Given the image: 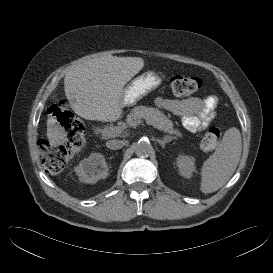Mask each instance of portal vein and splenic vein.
I'll return each instance as SVG.
<instances>
[{"mask_svg": "<svg viewBox=\"0 0 273 273\" xmlns=\"http://www.w3.org/2000/svg\"><path fill=\"white\" fill-rule=\"evenodd\" d=\"M142 124V121H138L137 124L135 125H139ZM121 133V128L119 127H108V128H104L101 131V134L103 137H115L118 136Z\"/></svg>", "mask_w": 273, "mask_h": 273, "instance_id": "portal-vein-and-splenic-vein-1", "label": "portal vein and splenic vein"}]
</instances>
